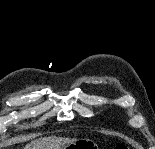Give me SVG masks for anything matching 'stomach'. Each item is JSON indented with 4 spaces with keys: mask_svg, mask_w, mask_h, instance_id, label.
I'll return each mask as SVG.
<instances>
[{
    "mask_svg": "<svg viewBox=\"0 0 155 149\" xmlns=\"http://www.w3.org/2000/svg\"><path fill=\"white\" fill-rule=\"evenodd\" d=\"M98 149L97 145L89 139H79L75 142L67 144L60 149Z\"/></svg>",
    "mask_w": 155,
    "mask_h": 149,
    "instance_id": "stomach-1",
    "label": "stomach"
}]
</instances>
